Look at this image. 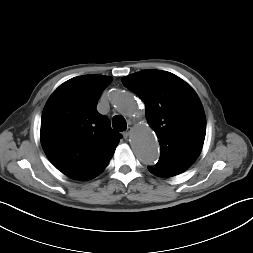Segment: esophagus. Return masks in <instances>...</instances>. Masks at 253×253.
Masks as SVG:
<instances>
[{
    "instance_id": "1",
    "label": "esophagus",
    "mask_w": 253,
    "mask_h": 253,
    "mask_svg": "<svg viewBox=\"0 0 253 253\" xmlns=\"http://www.w3.org/2000/svg\"><path fill=\"white\" fill-rule=\"evenodd\" d=\"M131 132H132V128L128 127L126 131L123 133L124 138L127 139L130 136Z\"/></svg>"
}]
</instances>
